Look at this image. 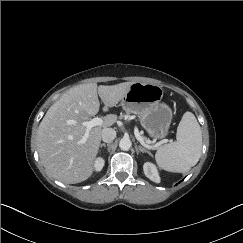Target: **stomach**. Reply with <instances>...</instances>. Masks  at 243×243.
<instances>
[{
  "label": "stomach",
  "mask_w": 243,
  "mask_h": 243,
  "mask_svg": "<svg viewBox=\"0 0 243 243\" xmlns=\"http://www.w3.org/2000/svg\"><path fill=\"white\" fill-rule=\"evenodd\" d=\"M163 88L153 83L133 82L121 100L122 108L135 114L154 139L167 136L172 121L171 108L162 103Z\"/></svg>",
  "instance_id": "0dacf381"
}]
</instances>
